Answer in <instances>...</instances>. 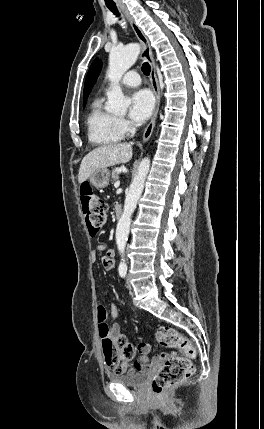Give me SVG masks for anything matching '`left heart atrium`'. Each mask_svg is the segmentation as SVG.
<instances>
[{
  "label": "left heart atrium",
  "instance_id": "obj_1",
  "mask_svg": "<svg viewBox=\"0 0 264 429\" xmlns=\"http://www.w3.org/2000/svg\"><path fill=\"white\" fill-rule=\"evenodd\" d=\"M154 108L152 94L145 89L136 91L131 97L129 116L135 123L146 121Z\"/></svg>",
  "mask_w": 264,
  "mask_h": 429
}]
</instances>
